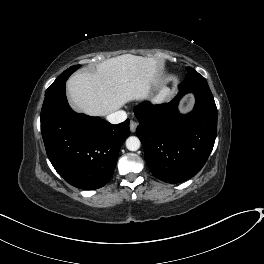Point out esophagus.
Returning a JSON list of instances; mask_svg holds the SVG:
<instances>
[{
    "mask_svg": "<svg viewBox=\"0 0 264 264\" xmlns=\"http://www.w3.org/2000/svg\"><path fill=\"white\" fill-rule=\"evenodd\" d=\"M137 122H135L134 120H131L130 121V131L131 132H135L136 131V128H137Z\"/></svg>",
    "mask_w": 264,
    "mask_h": 264,
    "instance_id": "1",
    "label": "esophagus"
}]
</instances>
